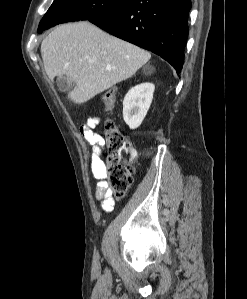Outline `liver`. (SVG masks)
Here are the masks:
<instances>
[{
    "label": "liver",
    "instance_id": "obj_1",
    "mask_svg": "<svg viewBox=\"0 0 247 299\" xmlns=\"http://www.w3.org/2000/svg\"><path fill=\"white\" fill-rule=\"evenodd\" d=\"M41 55L50 80L66 75L74 85L68 99L76 104L132 77L151 57L88 21L56 27L42 41Z\"/></svg>",
    "mask_w": 247,
    "mask_h": 299
}]
</instances>
